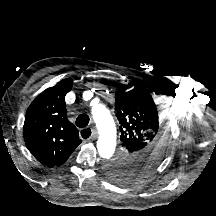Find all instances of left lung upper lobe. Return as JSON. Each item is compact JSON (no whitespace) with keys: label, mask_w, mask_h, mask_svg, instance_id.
Returning <instances> with one entry per match:
<instances>
[{"label":"left lung upper lobe","mask_w":216,"mask_h":216,"mask_svg":"<svg viewBox=\"0 0 216 216\" xmlns=\"http://www.w3.org/2000/svg\"><path fill=\"white\" fill-rule=\"evenodd\" d=\"M115 114L119 121L121 148L107 162V176L118 182L136 181L152 171L170 149V135L149 88L118 90Z\"/></svg>","instance_id":"5c2ea615"}]
</instances>
